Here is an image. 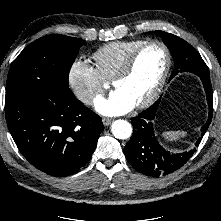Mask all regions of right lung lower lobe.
<instances>
[{"label":"right lung lower lobe","instance_id":"obj_1","mask_svg":"<svg viewBox=\"0 0 221 221\" xmlns=\"http://www.w3.org/2000/svg\"><path fill=\"white\" fill-rule=\"evenodd\" d=\"M5 115L22 155L55 177L72 175L85 166L104 129L101 117L71 90L54 89L45 96H6Z\"/></svg>","mask_w":221,"mask_h":221}]
</instances>
